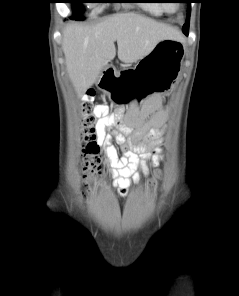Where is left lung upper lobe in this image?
I'll list each match as a JSON object with an SVG mask.
<instances>
[{"instance_id": "1", "label": "left lung upper lobe", "mask_w": 239, "mask_h": 296, "mask_svg": "<svg viewBox=\"0 0 239 296\" xmlns=\"http://www.w3.org/2000/svg\"><path fill=\"white\" fill-rule=\"evenodd\" d=\"M186 3L188 4V8H187V18H186V23L184 24L183 28H184V29H189V19H190V10H191V6H190V4H191V2L188 1V2H186ZM183 28H182V29H183Z\"/></svg>"}]
</instances>
